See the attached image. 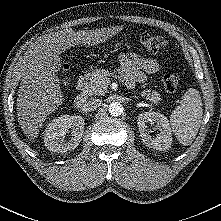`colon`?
Here are the masks:
<instances>
[{"label": "colon", "mask_w": 221, "mask_h": 221, "mask_svg": "<svg viewBox=\"0 0 221 221\" xmlns=\"http://www.w3.org/2000/svg\"><path fill=\"white\" fill-rule=\"evenodd\" d=\"M143 49L151 54L161 53L166 48V40L159 35L143 33L140 36ZM180 78L176 73H167L163 76V86L168 92H175L179 86Z\"/></svg>", "instance_id": "colon-1"}]
</instances>
